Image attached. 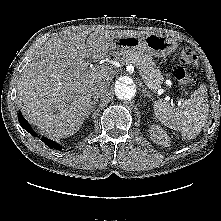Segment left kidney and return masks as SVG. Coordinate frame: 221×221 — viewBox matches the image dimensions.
<instances>
[{"label": "left kidney", "mask_w": 221, "mask_h": 221, "mask_svg": "<svg viewBox=\"0 0 221 221\" xmlns=\"http://www.w3.org/2000/svg\"><path fill=\"white\" fill-rule=\"evenodd\" d=\"M150 138L156 144H160L165 147L169 146V137L167 133L164 132V130L159 126H152L150 130Z\"/></svg>", "instance_id": "obj_1"}]
</instances>
